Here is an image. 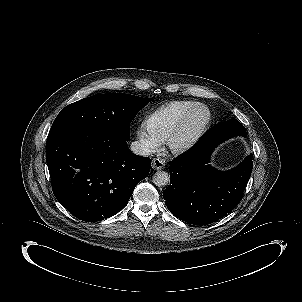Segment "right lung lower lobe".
Here are the masks:
<instances>
[{"label":"right lung lower lobe","mask_w":302,"mask_h":302,"mask_svg":"<svg viewBox=\"0 0 302 302\" xmlns=\"http://www.w3.org/2000/svg\"><path fill=\"white\" fill-rule=\"evenodd\" d=\"M46 161L57 200L75 217L101 221L122 210L150 171V158L106 130L82 127L48 135Z\"/></svg>","instance_id":"right-lung-lower-lobe-1"}]
</instances>
